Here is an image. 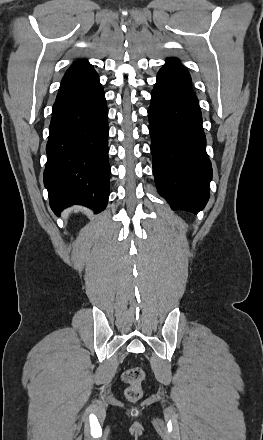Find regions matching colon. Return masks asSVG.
<instances>
[{
	"instance_id": "1",
	"label": "colon",
	"mask_w": 263,
	"mask_h": 440,
	"mask_svg": "<svg viewBox=\"0 0 263 440\" xmlns=\"http://www.w3.org/2000/svg\"><path fill=\"white\" fill-rule=\"evenodd\" d=\"M144 379V372L139 367H132L124 374V381L128 384L126 397L130 401L138 400L142 395L141 383Z\"/></svg>"
}]
</instances>
